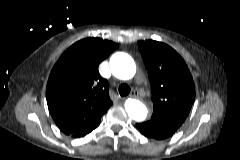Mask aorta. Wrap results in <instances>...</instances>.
Segmentation results:
<instances>
[{"label": "aorta", "instance_id": "aorta-1", "mask_svg": "<svg viewBox=\"0 0 240 160\" xmlns=\"http://www.w3.org/2000/svg\"><path fill=\"white\" fill-rule=\"evenodd\" d=\"M110 69L116 78L129 80L135 75L136 65L130 55L123 52H117L110 58ZM125 110L129 118L137 122L144 121L148 115L146 106L135 99L126 100Z\"/></svg>", "mask_w": 240, "mask_h": 160}]
</instances>
